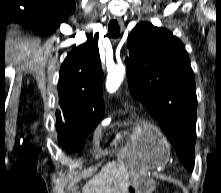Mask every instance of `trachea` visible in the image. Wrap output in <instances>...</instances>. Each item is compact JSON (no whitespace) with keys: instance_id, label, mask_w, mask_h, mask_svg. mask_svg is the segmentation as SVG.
<instances>
[{"instance_id":"1","label":"trachea","mask_w":221,"mask_h":193,"mask_svg":"<svg viewBox=\"0 0 221 193\" xmlns=\"http://www.w3.org/2000/svg\"><path fill=\"white\" fill-rule=\"evenodd\" d=\"M108 31L109 34L113 37V38H118L120 35V27L119 24L116 20H111L109 22V26H108Z\"/></svg>"}]
</instances>
